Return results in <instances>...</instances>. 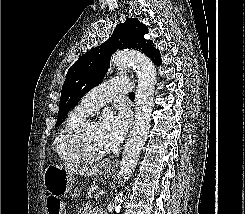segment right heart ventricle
<instances>
[{
	"label": "right heart ventricle",
	"instance_id": "right-heart-ventricle-1",
	"mask_svg": "<svg viewBox=\"0 0 245 214\" xmlns=\"http://www.w3.org/2000/svg\"><path fill=\"white\" fill-rule=\"evenodd\" d=\"M88 115V112L80 105H77L65 118L53 140V149L61 161L69 164H77L80 162L71 152L68 142L73 130L84 121Z\"/></svg>",
	"mask_w": 245,
	"mask_h": 214
}]
</instances>
